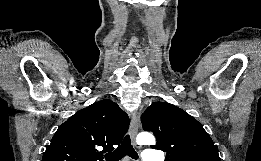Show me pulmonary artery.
Wrapping results in <instances>:
<instances>
[{
    "mask_svg": "<svg viewBox=\"0 0 261 161\" xmlns=\"http://www.w3.org/2000/svg\"><path fill=\"white\" fill-rule=\"evenodd\" d=\"M142 158H143V161H159V159L154 157L153 155H151L148 150H145L142 153ZM163 160H164V158L160 159V161H163Z\"/></svg>",
    "mask_w": 261,
    "mask_h": 161,
    "instance_id": "obj_1",
    "label": "pulmonary artery"
}]
</instances>
